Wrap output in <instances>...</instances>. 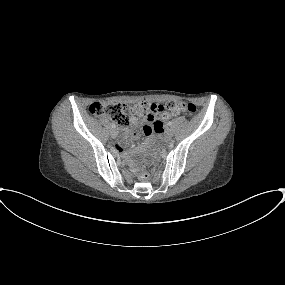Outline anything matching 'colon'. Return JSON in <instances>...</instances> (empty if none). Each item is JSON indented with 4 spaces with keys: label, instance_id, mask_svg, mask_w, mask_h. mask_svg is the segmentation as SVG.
<instances>
[{
    "label": "colon",
    "instance_id": "colon-1",
    "mask_svg": "<svg viewBox=\"0 0 285 285\" xmlns=\"http://www.w3.org/2000/svg\"><path fill=\"white\" fill-rule=\"evenodd\" d=\"M89 113L93 116L107 117L120 127H126L132 116L144 117L151 115L153 119L165 120L176 116L181 112L194 114L196 107L192 103L169 102L164 106V112L159 113L153 110V106L147 102H140L131 107L122 103L93 102L89 106ZM141 179H148L149 173L143 170L135 171Z\"/></svg>",
    "mask_w": 285,
    "mask_h": 285
}]
</instances>
